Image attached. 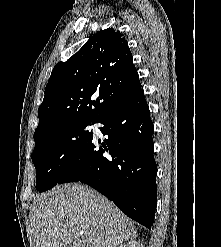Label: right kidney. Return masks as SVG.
<instances>
[{
	"label": "right kidney",
	"mask_w": 221,
	"mask_h": 247,
	"mask_svg": "<svg viewBox=\"0 0 221 247\" xmlns=\"http://www.w3.org/2000/svg\"><path fill=\"white\" fill-rule=\"evenodd\" d=\"M119 247H143V244L137 241H129L128 243L125 244H120Z\"/></svg>",
	"instance_id": "1"
}]
</instances>
